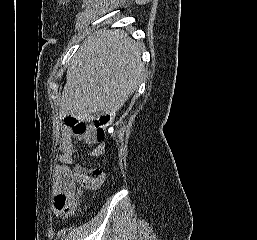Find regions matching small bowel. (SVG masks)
Listing matches in <instances>:
<instances>
[{"instance_id":"obj_1","label":"small bowel","mask_w":257,"mask_h":240,"mask_svg":"<svg viewBox=\"0 0 257 240\" xmlns=\"http://www.w3.org/2000/svg\"><path fill=\"white\" fill-rule=\"evenodd\" d=\"M85 142L87 144H97L88 154V158H94L100 155L105 144L96 136L93 129H88L82 135H76L69 129H64L60 142L59 164L54 169L53 184L58 194H67L76 190L80 179L87 173V168L79 161L76 150V142ZM54 215L57 219L61 217V211L55 206Z\"/></svg>"}]
</instances>
